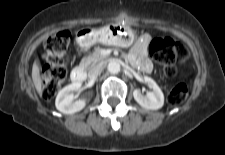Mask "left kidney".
I'll return each instance as SVG.
<instances>
[{"instance_id": "5707ae66", "label": "left kidney", "mask_w": 225, "mask_h": 155, "mask_svg": "<svg viewBox=\"0 0 225 155\" xmlns=\"http://www.w3.org/2000/svg\"><path fill=\"white\" fill-rule=\"evenodd\" d=\"M144 82L152 89L151 92H147L146 96H143L137 89L133 91V97L136 102L149 110H158L164 105V95L162 90L156 84V82L148 77L144 76Z\"/></svg>"}]
</instances>
